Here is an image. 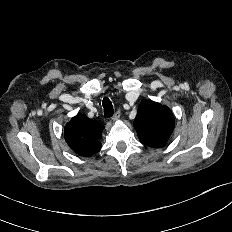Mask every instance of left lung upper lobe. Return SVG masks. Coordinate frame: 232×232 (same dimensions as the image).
<instances>
[{
  "mask_svg": "<svg viewBox=\"0 0 232 232\" xmlns=\"http://www.w3.org/2000/svg\"><path fill=\"white\" fill-rule=\"evenodd\" d=\"M175 125L171 110L153 101L140 103L134 120L138 138L143 144L160 148L170 138Z\"/></svg>",
  "mask_w": 232,
  "mask_h": 232,
  "instance_id": "left-lung-upper-lobe-1",
  "label": "left lung upper lobe"
}]
</instances>
